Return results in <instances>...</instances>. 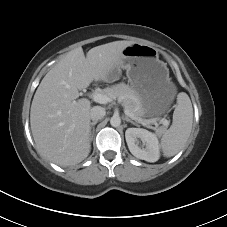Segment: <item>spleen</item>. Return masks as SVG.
<instances>
[{
  "label": "spleen",
  "instance_id": "1",
  "mask_svg": "<svg viewBox=\"0 0 227 227\" xmlns=\"http://www.w3.org/2000/svg\"><path fill=\"white\" fill-rule=\"evenodd\" d=\"M193 108L189 96L181 92L177 95V105L173 113V123L161 138L163 155L171 157L184 148L191 134Z\"/></svg>",
  "mask_w": 227,
  "mask_h": 227
}]
</instances>
